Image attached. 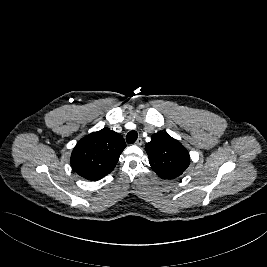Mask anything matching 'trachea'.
<instances>
[{"label":"trachea","mask_w":267,"mask_h":267,"mask_svg":"<svg viewBox=\"0 0 267 267\" xmlns=\"http://www.w3.org/2000/svg\"><path fill=\"white\" fill-rule=\"evenodd\" d=\"M138 138V133L134 130L130 131L127 135H126V141L129 144L134 143Z\"/></svg>","instance_id":"1"}]
</instances>
